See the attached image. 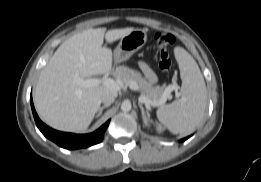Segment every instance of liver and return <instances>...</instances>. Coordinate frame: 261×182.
Returning <instances> with one entry per match:
<instances>
[{"label": "liver", "instance_id": "1", "mask_svg": "<svg viewBox=\"0 0 261 182\" xmlns=\"http://www.w3.org/2000/svg\"><path fill=\"white\" fill-rule=\"evenodd\" d=\"M134 28L87 29L64 41L42 69L34 92V103L40 118L54 129L84 132L100 108L101 97L118 92L105 85L86 87L76 77L109 73L112 52L102 47L104 38L112 43Z\"/></svg>", "mask_w": 261, "mask_h": 182}]
</instances>
